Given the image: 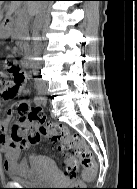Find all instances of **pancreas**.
<instances>
[{"label":"pancreas","mask_w":137,"mask_h":189,"mask_svg":"<svg viewBox=\"0 0 137 189\" xmlns=\"http://www.w3.org/2000/svg\"><path fill=\"white\" fill-rule=\"evenodd\" d=\"M15 38L21 40L25 44L26 37H28V20L17 19L14 26ZM22 49V48H21Z\"/></svg>","instance_id":"1"}]
</instances>
